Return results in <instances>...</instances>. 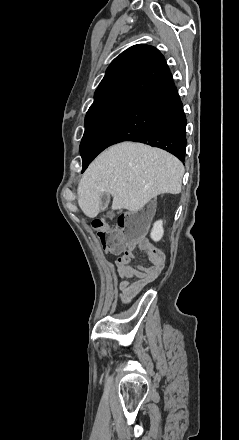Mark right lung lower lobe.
Here are the masks:
<instances>
[{"label":"right lung lower lobe","mask_w":239,"mask_h":440,"mask_svg":"<svg viewBox=\"0 0 239 440\" xmlns=\"http://www.w3.org/2000/svg\"><path fill=\"white\" fill-rule=\"evenodd\" d=\"M186 123L180 96L169 73L153 88L130 100L94 150L82 155L83 171L101 151L121 141L159 147L184 161Z\"/></svg>","instance_id":"right-lung-lower-lobe-1"}]
</instances>
